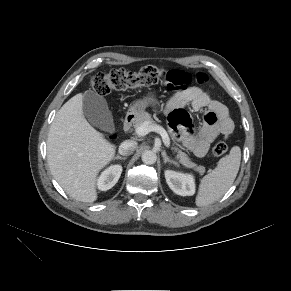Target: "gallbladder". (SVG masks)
<instances>
[{"mask_svg":"<svg viewBox=\"0 0 291 291\" xmlns=\"http://www.w3.org/2000/svg\"><path fill=\"white\" fill-rule=\"evenodd\" d=\"M83 110L91 125L103 131L114 132L115 126L105 98L94 91L83 96Z\"/></svg>","mask_w":291,"mask_h":291,"instance_id":"1","label":"gallbladder"}]
</instances>
